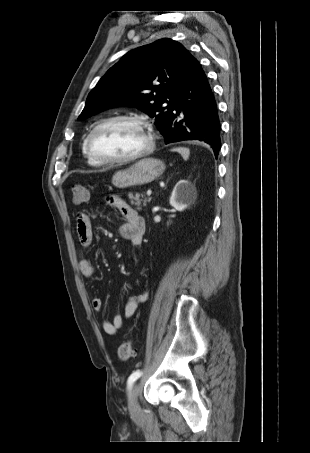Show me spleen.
<instances>
[{
  "mask_svg": "<svg viewBox=\"0 0 310 453\" xmlns=\"http://www.w3.org/2000/svg\"><path fill=\"white\" fill-rule=\"evenodd\" d=\"M173 151L181 154V156L183 157L184 160H187L189 158L190 150L188 148L179 147V148H174Z\"/></svg>",
  "mask_w": 310,
  "mask_h": 453,
  "instance_id": "spleen-1",
  "label": "spleen"
}]
</instances>
